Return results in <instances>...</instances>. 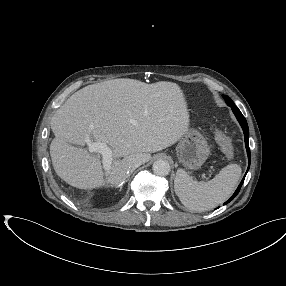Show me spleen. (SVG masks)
Returning a JSON list of instances; mask_svg holds the SVG:
<instances>
[{"label": "spleen", "instance_id": "spleen-1", "mask_svg": "<svg viewBox=\"0 0 286 286\" xmlns=\"http://www.w3.org/2000/svg\"><path fill=\"white\" fill-rule=\"evenodd\" d=\"M241 167L229 164L210 181H195L185 170L178 169L174 181L181 203L193 211H207L225 202L234 192L241 177Z\"/></svg>", "mask_w": 286, "mask_h": 286}]
</instances>
